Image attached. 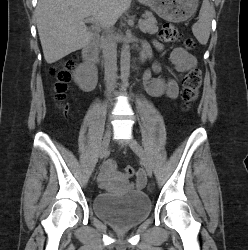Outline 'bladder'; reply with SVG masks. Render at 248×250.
Here are the masks:
<instances>
[{"label": "bladder", "mask_w": 248, "mask_h": 250, "mask_svg": "<svg viewBox=\"0 0 248 250\" xmlns=\"http://www.w3.org/2000/svg\"><path fill=\"white\" fill-rule=\"evenodd\" d=\"M95 214L118 228H130L151 213V200L145 192L130 190L124 194L104 192L93 200Z\"/></svg>", "instance_id": "1"}]
</instances>
